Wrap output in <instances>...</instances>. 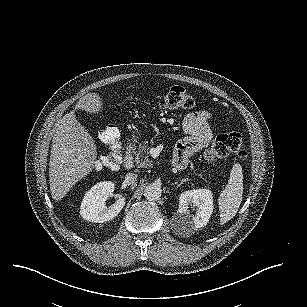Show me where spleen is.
Segmentation results:
<instances>
[{
	"label": "spleen",
	"instance_id": "spleen-1",
	"mask_svg": "<svg viewBox=\"0 0 307 307\" xmlns=\"http://www.w3.org/2000/svg\"><path fill=\"white\" fill-rule=\"evenodd\" d=\"M243 196V172L240 164L232 168L227 187L221 193L218 202L220 223L225 224L237 213Z\"/></svg>",
	"mask_w": 307,
	"mask_h": 307
}]
</instances>
